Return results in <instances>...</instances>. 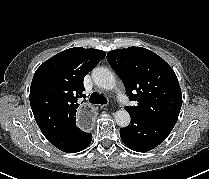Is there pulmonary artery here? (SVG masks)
<instances>
[{
  "mask_svg": "<svg viewBox=\"0 0 209 179\" xmlns=\"http://www.w3.org/2000/svg\"><path fill=\"white\" fill-rule=\"evenodd\" d=\"M117 95H118V99H119V101L121 103H123V104H127L128 103V98L121 91H119Z\"/></svg>",
  "mask_w": 209,
  "mask_h": 179,
  "instance_id": "1",
  "label": "pulmonary artery"
}]
</instances>
